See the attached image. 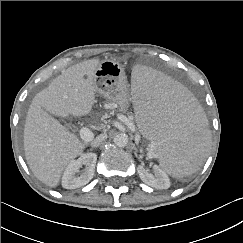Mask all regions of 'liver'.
Returning <instances> with one entry per match:
<instances>
[{"label":"liver","mask_w":243,"mask_h":243,"mask_svg":"<svg viewBox=\"0 0 243 243\" xmlns=\"http://www.w3.org/2000/svg\"><path fill=\"white\" fill-rule=\"evenodd\" d=\"M99 64L98 59H91L69 67L33 98L28 109L24 126L26 161L36 178L49 187L59 184L66 166L85 148L50 114L67 117L91 112Z\"/></svg>","instance_id":"1"}]
</instances>
